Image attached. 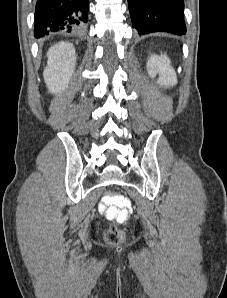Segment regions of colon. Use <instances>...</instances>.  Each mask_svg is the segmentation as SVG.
<instances>
[{
	"instance_id": "obj_1",
	"label": "colon",
	"mask_w": 227,
	"mask_h": 298,
	"mask_svg": "<svg viewBox=\"0 0 227 298\" xmlns=\"http://www.w3.org/2000/svg\"><path fill=\"white\" fill-rule=\"evenodd\" d=\"M102 205L105 207L104 213L109 220L125 221L131 210L128 200L117 194H107L103 198ZM104 237L108 244L119 245L124 241L125 233L111 224L104 230Z\"/></svg>"
}]
</instances>
